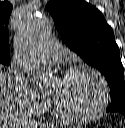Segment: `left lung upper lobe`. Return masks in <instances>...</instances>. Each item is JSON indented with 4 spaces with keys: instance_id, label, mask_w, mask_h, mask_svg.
I'll use <instances>...</instances> for the list:
<instances>
[{
    "instance_id": "1",
    "label": "left lung upper lobe",
    "mask_w": 125,
    "mask_h": 128,
    "mask_svg": "<svg viewBox=\"0 0 125 128\" xmlns=\"http://www.w3.org/2000/svg\"><path fill=\"white\" fill-rule=\"evenodd\" d=\"M46 10L64 43L106 77L111 87L107 111L125 110L124 68L113 30L102 13L84 0L50 1Z\"/></svg>"
}]
</instances>
